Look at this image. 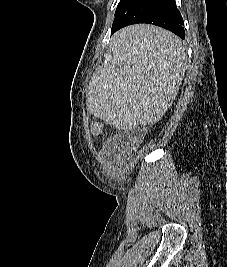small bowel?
Segmentation results:
<instances>
[{
	"instance_id": "c3829d8e",
	"label": "small bowel",
	"mask_w": 227,
	"mask_h": 267,
	"mask_svg": "<svg viewBox=\"0 0 227 267\" xmlns=\"http://www.w3.org/2000/svg\"><path fill=\"white\" fill-rule=\"evenodd\" d=\"M105 151L107 154H112L113 152V143L111 141H108L105 145Z\"/></svg>"
}]
</instances>
